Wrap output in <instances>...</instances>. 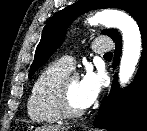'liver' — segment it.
Wrapping results in <instances>:
<instances>
[{
    "mask_svg": "<svg viewBox=\"0 0 147 131\" xmlns=\"http://www.w3.org/2000/svg\"><path fill=\"white\" fill-rule=\"evenodd\" d=\"M68 127L60 126H41L35 129V131H67Z\"/></svg>",
    "mask_w": 147,
    "mask_h": 131,
    "instance_id": "6515ba94",
    "label": "liver"
}]
</instances>
